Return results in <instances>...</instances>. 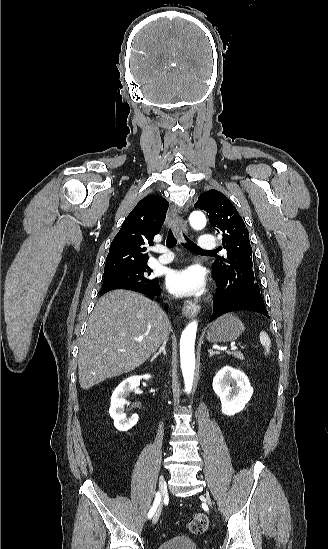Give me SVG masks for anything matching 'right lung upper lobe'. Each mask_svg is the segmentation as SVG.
I'll list each match as a JSON object with an SVG mask.
<instances>
[{"mask_svg":"<svg viewBox=\"0 0 328 549\" xmlns=\"http://www.w3.org/2000/svg\"><path fill=\"white\" fill-rule=\"evenodd\" d=\"M169 203L160 196H146L125 219L113 239L104 272L146 264V246L161 230Z\"/></svg>","mask_w":328,"mask_h":549,"instance_id":"1","label":"right lung upper lobe"}]
</instances>
